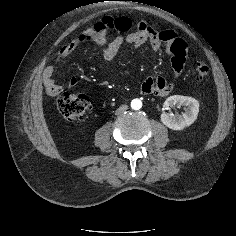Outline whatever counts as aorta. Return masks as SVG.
I'll use <instances>...</instances> for the list:
<instances>
[{"instance_id": "aorta-1", "label": "aorta", "mask_w": 236, "mask_h": 236, "mask_svg": "<svg viewBox=\"0 0 236 236\" xmlns=\"http://www.w3.org/2000/svg\"><path fill=\"white\" fill-rule=\"evenodd\" d=\"M142 107V101L140 99H133L131 101V108L134 110H139Z\"/></svg>"}]
</instances>
